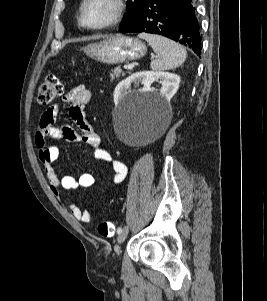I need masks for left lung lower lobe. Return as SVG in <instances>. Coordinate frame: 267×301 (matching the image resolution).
I'll use <instances>...</instances> for the list:
<instances>
[{"label":"left lung lower lobe","mask_w":267,"mask_h":301,"mask_svg":"<svg viewBox=\"0 0 267 301\" xmlns=\"http://www.w3.org/2000/svg\"><path fill=\"white\" fill-rule=\"evenodd\" d=\"M200 27L192 0H146L137 17L120 26L121 33L168 37L201 54Z\"/></svg>","instance_id":"0a47b994"}]
</instances>
